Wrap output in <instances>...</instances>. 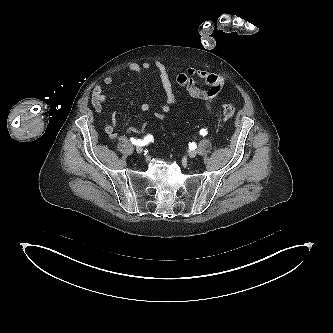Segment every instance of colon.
I'll return each mask as SVG.
<instances>
[{"mask_svg": "<svg viewBox=\"0 0 333 333\" xmlns=\"http://www.w3.org/2000/svg\"><path fill=\"white\" fill-rule=\"evenodd\" d=\"M235 114V107L232 103L227 102L223 105V117L226 120L231 119Z\"/></svg>", "mask_w": 333, "mask_h": 333, "instance_id": "colon-1", "label": "colon"}]
</instances>
